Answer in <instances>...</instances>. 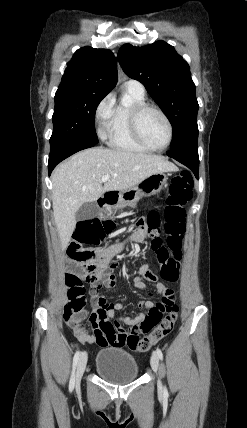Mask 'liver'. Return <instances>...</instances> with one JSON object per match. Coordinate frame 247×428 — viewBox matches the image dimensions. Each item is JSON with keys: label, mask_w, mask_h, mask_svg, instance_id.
<instances>
[{"label": "liver", "mask_w": 247, "mask_h": 428, "mask_svg": "<svg viewBox=\"0 0 247 428\" xmlns=\"http://www.w3.org/2000/svg\"><path fill=\"white\" fill-rule=\"evenodd\" d=\"M177 170L161 156L107 148L83 150L58 165L52 174V206L61 248L68 246L76 212L84 203L97 201L105 191L127 190L153 174ZM105 175L109 180L101 182Z\"/></svg>", "instance_id": "liver-1"}]
</instances>
